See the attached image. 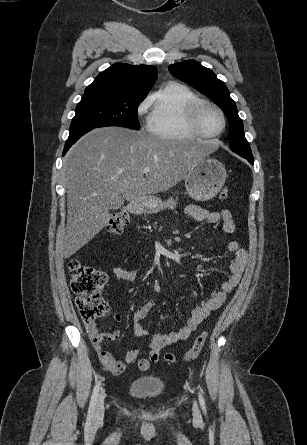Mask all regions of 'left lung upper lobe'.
<instances>
[{
    "mask_svg": "<svg viewBox=\"0 0 307 445\" xmlns=\"http://www.w3.org/2000/svg\"><path fill=\"white\" fill-rule=\"evenodd\" d=\"M170 73L190 84L195 89L210 97L225 113L229 125L230 148L235 153L252 155L250 146L244 136L243 122L238 116L235 102L223 81L208 68L195 60H187L170 65Z\"/></svg>",
    "mask_w": 307,
    "mask_h": 445,
    "instance_id": "left-lung-upper-lobe-1",
    "label": "left lung upper lobe"
}]
</instances>
